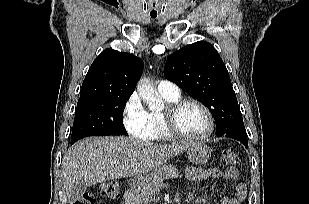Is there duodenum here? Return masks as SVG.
I'll use <instances>...</instances> for the list:
<instances>
[{
    "mask_svg": "<svg viewBox=\"0 0 309 204\" xmlns=\"http://www.w3.org/2000/svg\"><path fill=\"white\" fill-rule=\"evenodd\" d=\"M138 184V180L136 178H132L128 182V191L126 193V204H131L133 198V191Z\"/></svg>",
    "mask_w": 309,
    "mask_h": 204,
    "instance_id": "obj_1",
    "label": "duodenum"
}]
</instances>
